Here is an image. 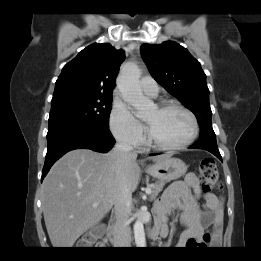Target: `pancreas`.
<instances>
[{
    "label": "pancreas",
    "mask_w": 261,
    "mask_h": 261,
    "mask_svg": "<svg viewBox=\"0 0 261 261\" xmlns=\"http://www.w3.org/2000/svg\"><path fill=\"white\" fill-rule=\"evenodd\" d=\"M151 189V199H155L163 190L164 182L155 183L149 186Z\"/></svg>",
    "instance_id": "1"
}]
</instances>
